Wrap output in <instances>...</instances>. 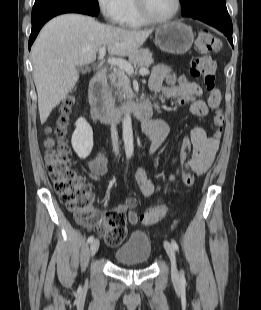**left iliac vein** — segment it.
I'll return each mask as SVG.
<instances>
[{
    "instance_id": "obj_1",
    "label": "left iliac vein",
    "mask_w": 261,
    "mask_h": 310,
    "mask_svg": "<svg viewBox=\"0 0 261 310\" xmlns=\"http://www.w3.org/2000/svg\"><path fill=\"white\" fill-rule=\"evenodd\" d=\"M164 248L167 252V255L171 261V276L172 279L177 281L179 280V273H178V269H177V264H176V255H175V251L174 248L172 247V245L165 241L164 242Z\"/></svg>"
}]
</instances>
